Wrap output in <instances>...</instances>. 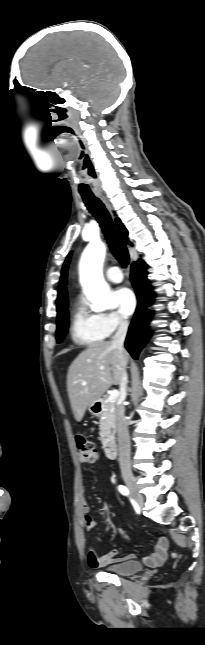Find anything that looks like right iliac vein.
Segmentation results:
<instances>
[{
  "instance_id": "63e3f726",
  "label": "right iliac vein",
  "mask_w": 205,
  "mask_h": 645,
  "mask_svg": "<svg viewBox=\"0 0 205 645\" xmlns=\"http://www.w3.org/2000/svg\"><path fill=\"white\" fill-rule=\"evenodd\" d=\"M123 479L139 506L143 505V496L139 492L136 479L131 473H124Z\"/></svg>"
}]
</instances>
